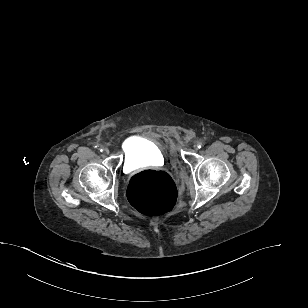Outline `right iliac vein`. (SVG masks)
Listing matches in <instances>:
<instances>
[{"label": "right iliac vein", "mask_w": 308, "mask_h": 308, "mask_svg": "<svg viewBox=\"0 0 308 308\" xmlns=\"http://www.w3.org/2000/svg\"><path fill=\"white\" fill-rule=\"evenodd\" d=\"M104 153L108 154L109 153V149L108 148H104Z\"/></svg>", "instance_id": "right-iliac-vein-1"}]
</instances>
